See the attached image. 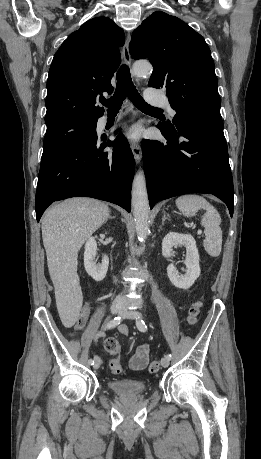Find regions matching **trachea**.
<instances>
[{
  "label": "trachea",
  "instance_id": "1",
  "mask_svg": "<svg viewBox=\"0 0 261 459\" xmlns=\"http://www.w3.org/2000/svg\"><path fill=\"white\" fill-rule=\"evenodd\" d=\"M117 87L114 95L110 99H104L101 103L108 108V111L119 110L126 97L140 110L160 111L147 104L132 82L130 70L127 65H122L117 74Z\"/></svg>",
  "mask_w": 261,
  "mask_h": 459
}]
</instances>
